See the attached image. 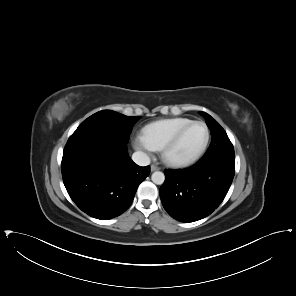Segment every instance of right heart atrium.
Segmentation results:
<instances>
[{"label":"right heart atrium","mask_w":296,"mask_h":296,"mask_svg":"<svg viewBox=\"0 0 296 296\" xmlns=\"http://www.w3.org/2000/svg\"><path fill=\"white\" fill-rule=\"evenodd\" d=\"M133 146L146 155H150L156 151L155 147L151 145L141 134L136 135L133 138Z\"/></svg>","instance_id":"right-heart-atrium-1"}]
</instances>
